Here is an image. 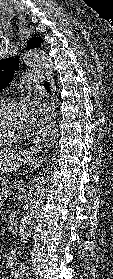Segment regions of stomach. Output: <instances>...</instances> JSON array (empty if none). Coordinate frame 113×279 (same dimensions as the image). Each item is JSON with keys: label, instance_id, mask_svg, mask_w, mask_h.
Wrapping results in <instances>:
<instances>
[{"label": "stomach", "instance_id": "1", "mask_svg": "<svg viewBox=\"0 0 113 279\" xmlns=\"http://www.w3.org/2000/svg\"><path fill=\"white\" fill-rule=\"evenodd\" d=\"M34 161L35 157L33 155H27L25 153L17 154L11 160L0 159V182H3L20 165H32Z\"/></svg>", "mask_w": 113, "mask_h": 279}]
</instances>
